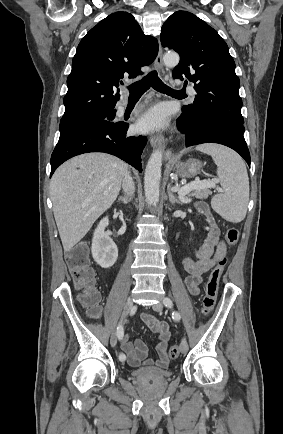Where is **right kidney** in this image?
<instances>
[{"instance_id": "right-kidney-1", "label": "right kidney", "mask_w": 283, "mask_h": 434, "mask_svg": "<svg viewBox=\"0 0 283 434\" xmlns=\"http://www.w3.org/2000/svg\"><path fill=\"white\" fill-rule=\"evenodd\" d=\"M109 225L108 217L103 218L94 231L91 252L97 264L102 268H110L118 257V248L111 237L105 233Z\"/></svg>"}]
</instances>
